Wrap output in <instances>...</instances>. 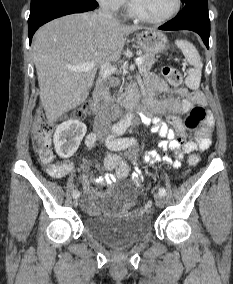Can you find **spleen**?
<instances>
[{"mask_svg":"<svg viewBox=\"0 0 233 284\" xmlns=\"http://www.w3.org/2000/svg\"><path fill=\"white\" fill-rule=\"evenodd\" d=\"M176 45L181 49L187 62L193 66L188 71L185 83L190 89H198L203 67L200 55L195 46L186 40H176Z\"/></svg>","mask_w":233,"mask_h":284,"instance_id":"obj_1","label":"spleen"}]
</instances>
